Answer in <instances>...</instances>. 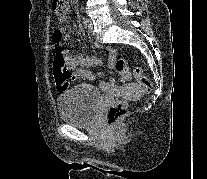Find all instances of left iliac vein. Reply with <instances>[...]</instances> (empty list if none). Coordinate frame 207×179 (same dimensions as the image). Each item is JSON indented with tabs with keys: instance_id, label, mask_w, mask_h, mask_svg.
Instances as JSON below:
<instances>
[{
	"instance_id": "1",
	"label": "left iliac vein",
	"mask_w": 207,
	"mask_h": 179,
	"mask_svg": "<svg viewBox=\"0 0 207 179\" xmlns=\"http://www.w3.org/2000/svg\"><path fill=\"white\" fill-rule=\"evenodd\" d=\"M87 25H88V31L89 32H92L93 31V26H92V21H91V19H87Z\"/></svg>"
}]
</instances>
